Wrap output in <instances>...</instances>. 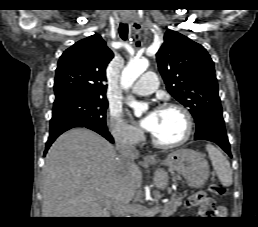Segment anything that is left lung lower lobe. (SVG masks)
Returning a JSON list of instances; mask_svg holds the SVG:
<instances>
[{
  "label": "left lung lower lobe",
  "instance_id": "1",
  "mask_svg": "<svg viewBox=\"0 0 258 227\" xmlns=\"http://www.w3.org/2000/svg\"><path fill=\"white\" fill-rule=\"evenodd\" d=\"M195 140H208L218 144L229 156H231L230 144L226 130L222 127H210L200 135H195Z\"/></svg>",
  "mask_w": 258,
  "mask_h": 227
}]
</instances>
